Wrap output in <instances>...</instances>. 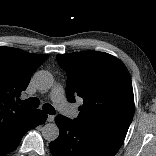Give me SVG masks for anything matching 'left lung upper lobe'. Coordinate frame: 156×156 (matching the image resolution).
<instances>
[{"instance_id": "left-lung-upper-lobe-1", "label": "left lung upper lobe", "mask_w": 156, "mask_h": 156, "mask_svg": "<svg viewBox=\"0 0 156 156\" xmlns=\"http://www.w3.org/2000/svg\"><path fill=\"white\" fill-rule=\"evenodd\" d=\"M68 80V101L83 98L75 124L103 131L124 141L134 115L132 82L125 65L116 57L99 51L57 56Z\"/></svg>"}]
</instances>
